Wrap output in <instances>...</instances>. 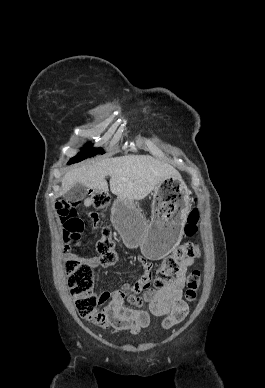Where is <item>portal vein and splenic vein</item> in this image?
<instances>
[{
  "label": "portal vein and splenic vein",
  "instance_id": "1",
  "mask_svg": "<svg viewBox=\"0 0 265 388\" xmlns=\"http://www.w3.org/2000/svg\"><path fill=\"white\" fill-rule=\"evenodd\" d=\"M122 180H126V178H122Z\"/></svg>",
  "mask_w": 265,
  "mask_h": 388
}]
</instances>
